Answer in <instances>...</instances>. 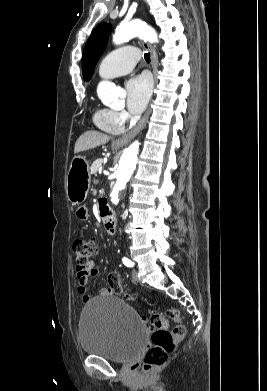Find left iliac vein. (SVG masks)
Wrapping results in <instances>:
<instances>
[{"instance_id":"4c4485c4","label":"left iliac vein","mask_w":267,"mask_h":391,"mask_svg":"<svg viewBox=\"0 0 267 391\" xmlns=\"http://www.w3.org/2000/svg\"><path fill=\"white\" fill-rule=\"evenodd\" d=\"M138 272H137V270L136 269H133L132 270V279L134 280V281H136V282H138L139 281V279H138Z\"/></svg>"}]
</instances>
